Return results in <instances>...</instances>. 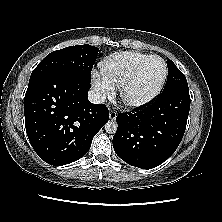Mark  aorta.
<instances>
[{"instance_id":"1","label":"aorta","mask_w":222,"mask_h":222,"mask_svg":"<svg viewBox=\"0 0 222 222\" xmlns=\"http://www.w3.org/2000/svg\"><path fill=\"white\" fill-rule=\"evenodd\" d=\"M105 131L109 134H115L116 131H117V128H118V124L116 121H108L106 124H105Z\"/></svg>"}]
</instances>
